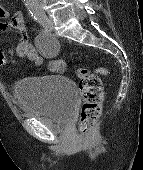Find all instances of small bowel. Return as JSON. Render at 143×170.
I'll use <instances>...</instances> for the list:
<instances>
[{"label": "small bowel", "mask_w": 143, "mask_h": 170, "mask_svg": "<svg viewBox=\"0 0 143 170\" xmlns=\"http://www.w3.org/2000/svg\"><path fill=\"white\" fill-rule=\"evenodd\" d=\"M15 29L21 38L16 46V54L20 58H26L33 61L37 65H41L44 62V56L41 55L35 47H33L26 38V23L23 13L16 11L10 13L6 8L0 5V31ZM53 50L57 49V43L51 42ZM62 60L51 59L48 62V69L52 72H58L57 66ZM6 64L5 52L0 48V67Z\"/></svg>", "instance_id": "small-bowel-1"}]
</instances>
